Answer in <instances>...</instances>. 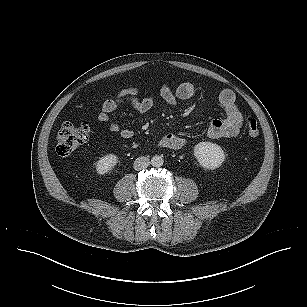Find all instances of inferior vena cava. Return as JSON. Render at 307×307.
I'll return each instance as SVG.
<instances>
[{
    "label": "inferior vena cava",
    "mask_w": 307,
    "mask_h": 307,
    "mask_svg": "<svg viewBox=\"0 0 307 307\" xmlns=\"http://www.w3.org/2000/svg\"><path fill=\"white\" fill-rule=\"evenodd\" d=\"M150 160L148 157L141 156L134 161V169L139 171L149 166Z\"/></svg>",
    "instance_id": "602c4592"
}]
</instances>
